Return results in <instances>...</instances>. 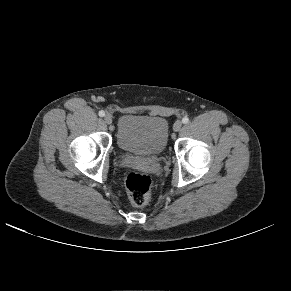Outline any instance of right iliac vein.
Wrapping results in <instances>:
<instances>
[{
  "label": "right iliac vein",
  "instance_id": "1",
  "mask_svg": "<svg viewBox=\"0 0 291 291\" xmlns=\"http://www.w3.org/2000/svg\"><path fill=\"white\" fill-rule=\"evenodd\" d=\"M104 121L106 124H111L112 123V117L107 114L105 117H104Z\"/></svg>",
  "mask_w": 291,
  "mask_h": 291
}]
</instances>
